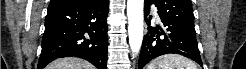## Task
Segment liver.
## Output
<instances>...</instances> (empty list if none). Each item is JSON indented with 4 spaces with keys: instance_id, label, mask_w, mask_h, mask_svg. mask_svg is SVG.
<instances>
[{
    "instance_id": "6515ba94",
    "label": "liver",
    "mask_w": 246,
    "mask_h": 69,
    "mask_svg": "<svg viewBox=\"0 0 246 69\" xmlns=\"http://www.w3.org/2000/svg\"><path fill=\"white\" fill-rule=\"evenodd\" d=\"M47 69H94V67L85 60L68 57L55 60L47 66Z\"/></svg>"
}]
</instances>
